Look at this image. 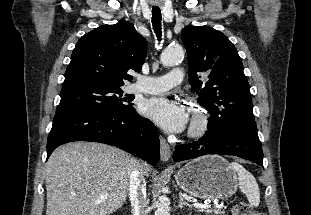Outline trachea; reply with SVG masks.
Here are the masks:
<instances>
[{
    "mask_svg": "<svg viewBox=\"0 0 311 215\" xmlns=\"http://www.w3.org/2000/svg\"><path fill=\"white\" fill-rule=\"evenodd\" d=\"M161 10L158 7H153L152 9V26L154 29V32L158 38V41L161 40Z\"/></svg>",
    "mask_w": 311,
    "mask_h": 215,
    "instance_id": "trachea-1",
    "label": "trachea"
}]
</instances>
